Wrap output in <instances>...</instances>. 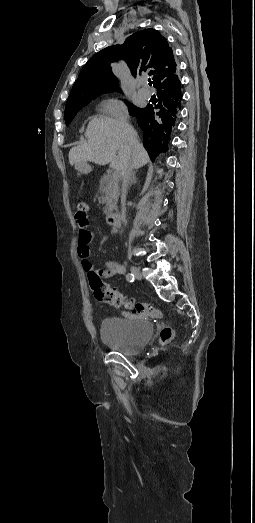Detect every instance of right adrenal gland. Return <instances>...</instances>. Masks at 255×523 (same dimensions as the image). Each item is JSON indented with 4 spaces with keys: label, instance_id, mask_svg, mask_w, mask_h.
<instances>
[{
    "label": "right adrenal gland",
    "instance_id": "2a0ac1e0",
    "mask_svg": "<svg viewBox=\"0 0 255 523\" xmlns=\"http://www.w3.org/2000/svg\"><path fill=\"white\" fill-rule=\"evenodd\" d=\"M132 184H136V172H134V174L129 182L128 188H131Z\"/></svg>",
    "mask_w": 255,
    "mask_h": 523
}]
</instances>
